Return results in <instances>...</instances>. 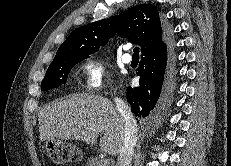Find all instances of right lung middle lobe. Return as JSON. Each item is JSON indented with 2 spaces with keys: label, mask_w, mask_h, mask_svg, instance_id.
Segmentation results:
<instances>
[{
  "label": "right lung middle lobe",
  "mask_w": 231,
  "mask_h": 166,
  "mask_svg": "<svg viewBox=\"0 0 231 166\" xmlns=\"http://www.w3.org/2000/svg\"><path fill=\"white\" fill-rule=\"evenodd\" d=\"M87 57L88 55L65 56L53 61L42 81L41 90L45 91L59 87L61 84H65L70 70L75 66L76 63H79Z\"/></svg>",
  "instance_id": "1"
}]
</instances>
